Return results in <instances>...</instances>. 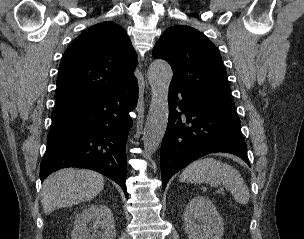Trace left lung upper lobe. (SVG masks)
<instances>
[{"label":"left lung upper lobe","mask_w":304,"mask_h":239,"mask_svg":"<svg viewBox=\"0 0 304 239\" xmlns=\"http://www.w3.org/2000/svg\"><path fill=\"white\" fill-rule=\"evenodd\" d=\"M152 55L171 65L170 86L205 102L235 109L221 55L198 30L190 26L167 28Z\"/></svg>","instance_id":"1"}]
</instances>
